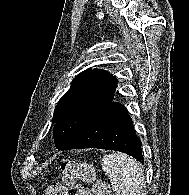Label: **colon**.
I'll use <instances>...</instances> for the list:
<instances>
[{
  "instance_id": "obj_1",
  "label": "colon",
  "mask_w": 189,
  "mask_h": 195,
  "mask_svg": "<svg viewBox=\"0 0 189 195\" xmlns=\"http://www.w3.org/2000/svg\"><path fill=\"white\" fill-rule=\"evenodd\" d=\"M62 181L48 186L46 195H80L78 182L94 181L92 195H109L107 182L95 177L84 162L63 161L59 166Z\"/></svg>"
}]
</instances>
